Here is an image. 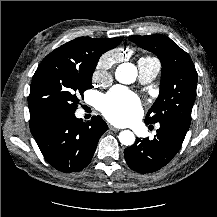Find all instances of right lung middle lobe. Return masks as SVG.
<instances>
[{
  "label": "right lung middle lobe",
  "mask_w": 217,
  "mask_h": 217,
  "mask_svg": "<svg viewBox=\"0 0 217 217\" xmlns=\"http://www.w3.org/2000/svg\"><path fill=\"white\" fill-rule=\"evenodd\" d=\"M94 70L95 66H78L45 57L30 87V118L55 112L74 113L80 95L92 88Z\"/></svg>",
  "instance_id": "1"
}]
</instances>
